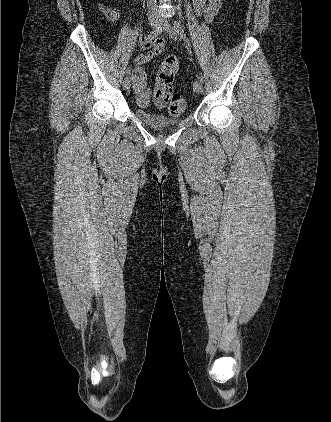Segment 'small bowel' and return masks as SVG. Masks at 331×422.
Here are the masks:
<instances>
[{"label": "small bowel", "mask_w": 331, "mask_h": 422, "mask_svg": "<svg viewBox=\"0 0 331 422\" xmlns=\"http://www.w3.org/2000/svg\"><path fill=\"white\" fill-rule=\"evenodd\" d=\"M193 6L198 16H203L207 21H212L221 9L222 0H193ZM137 46L143 53L135 58V63L141 65L163 52L165 40L157 38L153 42L137 41ZM133 84L137 94V103L143 106L147 105L148 102L143 104L140 98L142 95L150 97V89L147 87L146 77L137 79L133 76Z\"/></svg>", "instance_id": "small-bowel-1"}]
</instances>
